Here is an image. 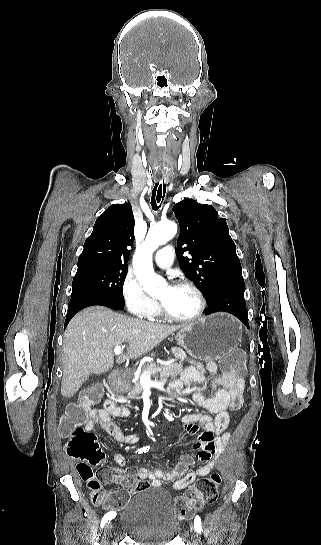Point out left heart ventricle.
Wrapping results in <instances>:
<instances>
[{"mask_svg": "<svg viewBox=\"0 0 321 545\" xmlns=\"http://www.w3.org/2000/svg\"><path fill=\"white\" fill-rule=\"evenodd\" d=\"M167 311L182 317L196 313L199 301L196 294L189 289H179L166 286L159 301Z\"/></svg>", "mask_w": 321, "mask_h": 545, "instance_id": "obj_1", "label": "left heart ventricle"}]
</instances>
